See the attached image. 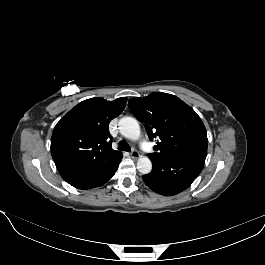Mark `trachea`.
Returning <instances> with one entry per match:
<instances>
[{"mask_svg": "<svg viewBox=\"0 0 265 265\" xmlns=\"http://www.w3.org/2000/svg\"><path fill=\"white\" fill-rule=\"evenodd\" d=\"M118 149L122 151L129 152L131 151V147L127 144L126 141L121 140L118 144Z\"/></svg>", "mask_w": 265, "mask_h": 265, "instance_id": "obj_1", "label": "trachea"}]
</instances>
